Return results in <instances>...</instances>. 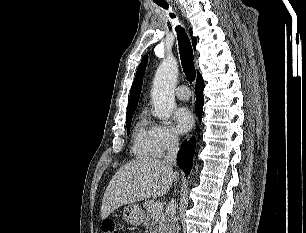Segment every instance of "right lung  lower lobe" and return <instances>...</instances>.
<instances>
[{"mask_svg": "<svg viewBox=\"0 0 306 233\" xmlns=\"http://www.w3.org/2000/svg\"><path fill=\"white\" fill-rule=\"evenodd\" d=\"M203 89H204V81L202 76L198 74L196 80V89H195L196 111L198 116H201L204 104ZM194 150H195V140L191 139L189 142L185 140L182 143L180 151L177 155V163L180 166V168L186 173H189L192 168Z\"/></svg>", "mask_w": 306, "mask_h": 233, "instance_id": "1", "label": "right lung lower lobe"}]
</instances>
